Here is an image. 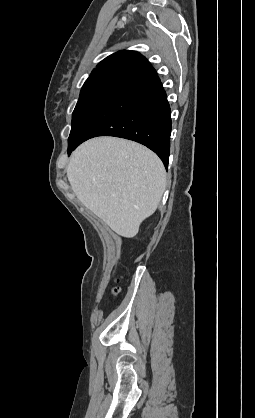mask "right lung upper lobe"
<instances>
[{"instance_id": "cb5924a9", "label": "right lung upper lobe", "mask_w": 255, "mask_h": 418, "mask_svg": "<svg viewBox=\"0 0 255 418\" xmlns=\"http://www.w3.org/2000/svg\"><path fill=\"white\" fill-rule=\"evenodd\" d=\"M154 75L155 69L144 56L136 51L122 50L101 61L84 85L109 83L128 87Z\"/></svg>"}]
</instances>
